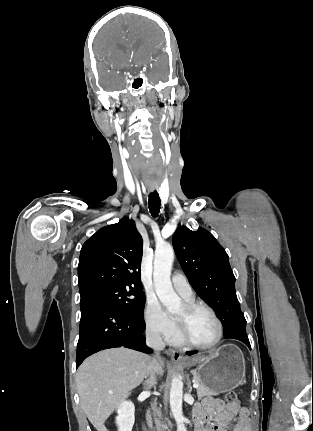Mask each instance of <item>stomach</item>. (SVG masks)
<instances>
[{
  "label": "stomach",
  "instance_id": "1",
  "mask_svg": "<svg viewBox=\"0 0 313 431\" xmlns=\"http://www.w3.org/2000/svg\"><path fill=\"white\" fill-rule=\"evenodd\" d=\"M184 365L196 366L201 384L216 393H224L242 385L245 380V360L234 344H226L207 355L188 358Z\"/></svg>",
  "mask_w": 313,
  "mask_h": 431
}]
</instances>
